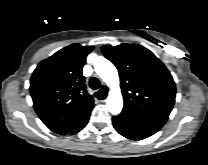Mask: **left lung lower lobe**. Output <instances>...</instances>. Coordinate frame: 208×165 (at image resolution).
<instances>
[{
    "label": "left lung lower lobe",
    "instance_id": "left-lung-lower-lobe-1",
    "mask_svg": "<svg viewBox=\"0 0 208 165\" xmlns=\"http://www.w3.org/2000/svg\"><path fill=\"white\" fill-rule=\"evenodd\" d=\"M115 130L132 140H142L155 134L165 123L164 120L137 116L121 112L112 118Z\"/></svg>",
    "mask_w": 208,
    "mask_h": 165
}]
</instances>
